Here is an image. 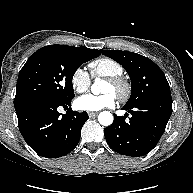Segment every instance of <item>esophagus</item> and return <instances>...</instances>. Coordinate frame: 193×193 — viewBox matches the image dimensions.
<instances>
[{
	"label": "esophagus",
	"instance_id": "1",
	"mask_svg": "<svg viewBox=\"0 0 193 193\" xmlns=\"http://www.w3.org/2000/svg\"><path fill=\"white\" fill-rule=\"evenodd\" d=\"M97 115H98V112H89V113H88V116H89L90 118H95Z\"/></svg>",
	"mask_w": 193,
	"mask_h": 193
}]
</instances>
